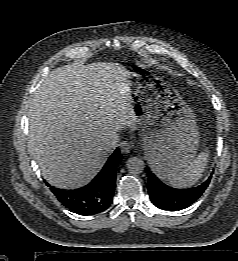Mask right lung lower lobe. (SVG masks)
Instances as JSON below:
<instances>
[{"mask_svg":"<svg viewBox=\"0 0 238 261\" xmlns=\"http://www.w3.org/2000/svg\"><path fill=\"white\" fill-rule=\"evenodd\" d=\"M121 160L116 149L100 173L86 186L75 190L51 187V191L66 208L81 215H93L106 210L113 200L116 167ZM49 187L50 185L47 184Z\"/></svg>","mask_w":238,"mask_h":261,"instance_id":"obj_1","label":"right lung lower lobe"}]
</instances>
